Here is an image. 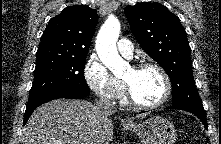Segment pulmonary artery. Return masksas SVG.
<instances>
[{"instance_id":"1","label":"pulmonary artery","mask_w":221,"mask_h":144,"mask_svg":"<svg viewBox=\"0 0 221 144\" xmlns=\"http://www.w3.org/2000/svg\"><path fill=\"white\" fill-rule=\"evenodd\" d=\"M117 48L122 56L126 58H131L133 56V45L128 39H120L117 43Z\"/></svg>"}]
</instances>
